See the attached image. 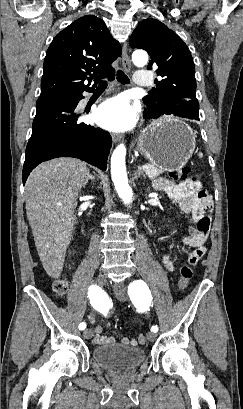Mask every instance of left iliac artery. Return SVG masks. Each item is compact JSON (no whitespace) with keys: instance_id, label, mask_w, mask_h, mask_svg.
Segmentation results:
<instances>
[{"instance_id":"left-iliac-artery-1","label":"left iliac artery","mask_w":243,"mask_h":409,"mask_svg":"<svg viewBox=\"0 0 243 409\" xmlns=\"http://www.w3.org/2000/svg\"><path fill=\"white\" fill-rule=\"evenodd\" d=\"M148 292V287L142 280L134 281L130 284L128 289V294L134 304H136L137 301L142 298V296H146L148 298ZM151 331L156 333L158 331L157 325L152 326Z\"/></svg>"}]
</instances>
